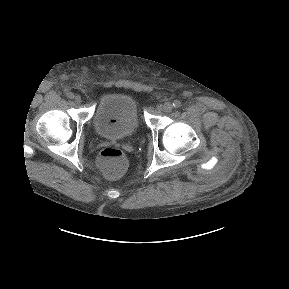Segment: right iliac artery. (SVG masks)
I'll list each match as a JSON object with an SVG mask.
<instances>
[{"instance_id":"obj_1","label":"right iliac artery","mask_w":289,"mask_h":289,"mask_svg":"<svg viewBox=\"0 0 289 289\" xmlns=\"http://www.w3.org/2000/svg\"><path fill=\"white\" fill-rule=\"evenodd\" d=\"M67 97H68L69 99H73V98H74V94H73L72 92H68V93H67Z\"/></svg>"}]
</instances>
